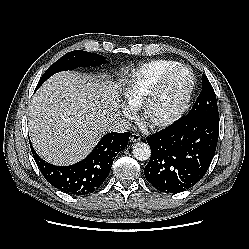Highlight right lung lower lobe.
Returning <instances> with one entry per match:
<instances>
[{
    "mask_svg": "<svg viewBox=\"0 0 249 249\" xmlns=\"http://www.w3.org/2000/svg\"><path fill=\"white\" fill-rule=\"evenodd\" d=\"M129 136L128 132L106 134L84 160L71 166L47 163L30 146L38 167L51 185L71 195H85L103 184L114 158L127 146Z\"/></svg>",
    "mask_w": 249,
    "mask_h": 249,
    "instance_id": "obj_1",
    "label": "right lung lower lobe"
}]
</instances>
